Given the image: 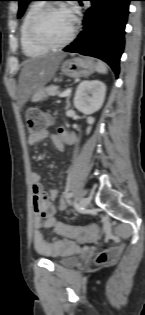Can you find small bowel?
<instances>
[{
	"instance_id": "c3829d8e",
	"label": "small bowel",
	"mask_w": 145,
	"mask_h": 315,
	"mask_svg": "<svg viewBox=\"0 0 145 315\" xmlns=\"http://www.w3.org/2000/svg\"><path fill=\"white\" fill-rule=\"evenodd\" d=\"M48 136L46 130L37 131L28 136V143L35 145L44 140ZM51 140L55 148L63 151L65 144L74 140V135L68 133L64 128H59L57 133L51 136ZM32 194H33V207H34V220H33V245L35 250L42 255H59L74 252L78 247L92 238L83 239H62L53 238L51 241L45 239L43 228H55L57 225H63L56 217V211L63 210L70 214L68 210L67 201L61 198L57 205L53 201L57 197V189H49L43 192L41 177L38 172L31 173Z\"/></svg>"
}]
</instances>
